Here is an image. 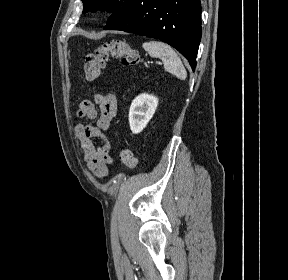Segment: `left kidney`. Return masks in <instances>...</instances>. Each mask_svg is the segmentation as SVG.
Returning a JSON list of instances; mask_svg holds the SVG:
<instances>
[{
	"label": "left kidney",
	"mask_w": 288,
	"mask_h": 280,
	"mask_svg": "<svg viewBox=\"0 0 288 280\" xmlns=\"http://www.w3.org/2000/svg\"><path fill=\"white\" fill-rule=\"evenodd\" d=\"M158 106V99L146 93L138 95L129 109V125L132 133H140L153 117Z\"/></svg>",
	"instance_id": "obj_1"
}]
</instances>
